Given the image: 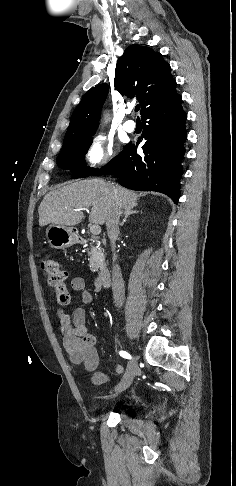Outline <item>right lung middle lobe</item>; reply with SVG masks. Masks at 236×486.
Returning a JSON list of instances; mask_svg holds the SVG:
<instances>
[{
    "label": "right lung middle lobe",
    "instance_id": "1",
    "mask_svg": "<svg viewBox=\"0 0 236 486\" xmlns=\"http://www.w3.org/2000/svg\"><path fill=\"white\" fill-rule=\"evenodd\" d=\"M94 134L95 132L64 144L57 157L58 166L73 171V178H84L96 171V169L87 166L85 162V154L92 144Z\"/></svg>",
    "mask_w": 236,
    "mask_h": 486
}]
</instances>
